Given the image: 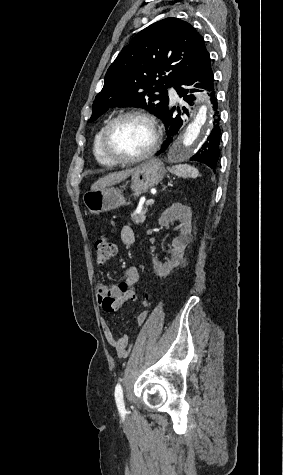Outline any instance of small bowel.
Instances as JSON below:
<instances>
[{"mask_svg": "<svg viewBox=\"0 0 283 475\" xmlns=\"http://www.w3.org/2000/svg\"><path fill=\"white\" fill-rule=\"evenodd\" d=\"M120 237L121 241L124 245L126 246H132L135 243V233L133 229L130 226H124L121 229L120 232ZM138 276L139 278V273L136 268L130 267L128 268L125 273H124V279H132L133 276ZM139 280V279H138ZM138 282V281H137ZM118 285H108L104 282H99L96 287H95V298L98 303V305L104 310V307L101 306V299H102V294L103 293H118ZM136 298V295H134ZM134 298V299H135ZM145 306L149 305V300L144 299L143 301ZM148 312L146 310L141 311L138 316H137V324L138 326H141L146 317H147ZM101 329L103 332V335L107 341V343L112 346L116 354L119 358H125L128 353H129V346H130V339L129 336L126 334L120 335L116 337L110 328V326L107 324L106 321L102 320L101 321Z\"/></svg>", "mask_w": 283, "mask_h": 475, "instance_id": "obj_1", "label": "small bowel"}]
</instances>
